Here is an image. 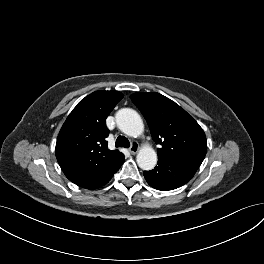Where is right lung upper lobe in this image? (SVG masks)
Listing matches in <instances>:
<instances>
[{"label": "right lung upper lobe", "mask_w": 264, "mask_h": 264, "mask_svg": "<svg viewBox=\"0 0 264 264\" xmlns=\"http://www.w3.org/2000/svg\"><path fill=\"white\" fill-rule=\"evenodd\" d=\"M123 98L118 91H96L82 99L67 117L56 143V158L73 183L104 169L122 155L109 150L105 120Z\"/></svg>", "instance_id": "obj_1"}]
</instances>
